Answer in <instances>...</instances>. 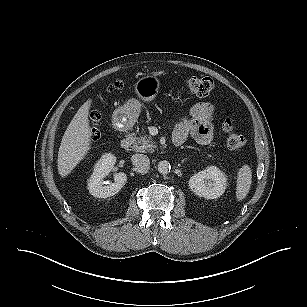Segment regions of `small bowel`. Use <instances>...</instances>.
I'll return each mask as SVG.
<instances>
[{
	"mask_svg": "<svg viewBox=\"0 0 307 307\" xmlns=\"http://www.w3.org/2000/svg\"><path fill=\"white\" fill-rule=\"evenodd\" d=\"M190 118L181 120L173 131V140L181 141L183 144L188 137L197 143L206 145L213 140L212 118L214 107L205 102L195 103L189 110Z\"/></svg>",
	"mask_w": 307,
	"mask_h": 307,
	"instance_id": "small-bowel-1",
	"label": "small bowel"
}]
</instances>
